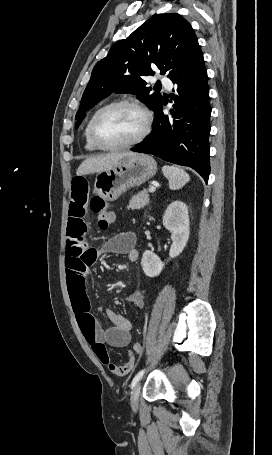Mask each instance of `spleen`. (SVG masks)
<instances>
[{"mask_svg": "<svg viewBox=\"0 0 272 455\" xmlns=\"http://www.w3.org/2000/svg\"><path fill=\"white\" fill-rule=\"evenodd\" d=\"M162 170L169 181V188L171 190L182 188L190 180V176L182 168L176 166H163Z\"/></svg>", "mask_w": 272, "mask_h": 455, "instance_id": "obj_1", "label": "spleen"}]
</instances>
